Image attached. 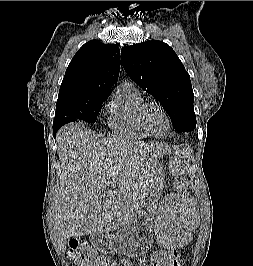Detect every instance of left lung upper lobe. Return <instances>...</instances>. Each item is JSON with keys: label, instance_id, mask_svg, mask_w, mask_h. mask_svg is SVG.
Instances as JSON below:
<instances>
[{"label": "left lung upper lobe", "instance_id": "obj_1", "mask_svg": "<svg viewBox=\"0 0 253 266\" xmlns=\"http://www.w3.org/2000/svg\"><path fill=\"white\" fill-rule=\"evenodd\" d=\"M121 62L129 77L160 102L177 132L196 127L190 76L171 47L161 41L125 46Z\"/></svg>", "mask_w": 253, "mask_h": 266}]
</instances>
